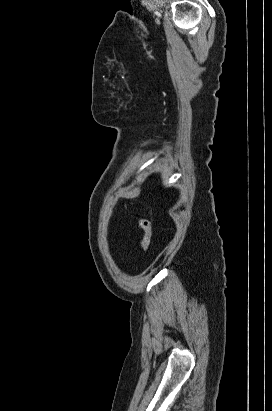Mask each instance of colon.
Returning <instances> with one entry per match:
<instances>
[{"label": "colon", "mask_w": 272, "mask_h": 411, "mask_svg": "<svg viewBox=\"0 0 272 411\" xmlns=\"http://www.w3.org/2000/svg\"><path fill=\"white\" fill-rule=\"evenodd\" d=\"M139 226L142 230V237L140 241L141 247L143 250H148L151 244V238H152V230H151L150 222L144 218L140 219Z\"/></svg>", "instance_id": "colon-1"}]
</instances>
